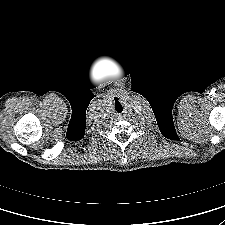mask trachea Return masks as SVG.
<instances>
[{"label": "trachea", "instance_id": "3493384b", "mask_svg": "<svg viewBox=\"0 0 225 225\" xmlns=\"http://www.w3.org/2000/svg\"><path fill=\"white\" fill-rule=\"evenodd\" d=\"M115 109L118 113H121L123 111V107L119 102L115 103Z\"/></svg>", "mask_w": 225, "mask_h": 225}]
</instances>
